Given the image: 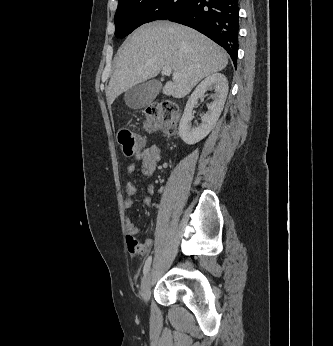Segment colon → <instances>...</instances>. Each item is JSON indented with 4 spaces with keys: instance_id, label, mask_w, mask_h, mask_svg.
Listing matches in <instances>:
<instances>
[{
    "instance_id": "colon-1",
    "label": "colon",
    "mask_w": 333,
    "mask_h": 346,
    "mask_svg": "<svg viewBox=\"0 0 333 346\" xmlns=\"http://www.w3.org/2000/svg\"><path fill=\"white\" fill-rule=\"evenodd\" d=\"M179 114L178 106L172 101L164 100L152 103L144 109V126L150 132L162 131L165 134H173ZM118 142L127 156L139 152L145 145L144 137L141 134L126 128L119 131Z\"/></svg>"
}]
</instances>
